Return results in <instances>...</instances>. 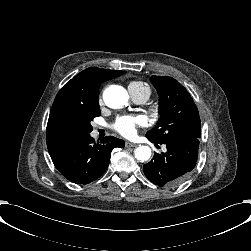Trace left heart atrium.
I'll list each match as a JSON object with an SVG mask.
<instances>
[{
	"instance_id": "1",
	"label": "left heart atrium",
	"mask_w": 251,
	"mask_h": 251,
	"mask_svg": "<svg viewBox=\"0 0 251 251\" xmlns=\"http://www.w3.org/2000/svg\"><path fill=\"white\" fill-rule=\"evenodd\" d=\"M144 122L141 116L124 115L118 117L112 124V128L123 136H130L134 134L137 126Z\"/></svg>"
}]
</instances>
